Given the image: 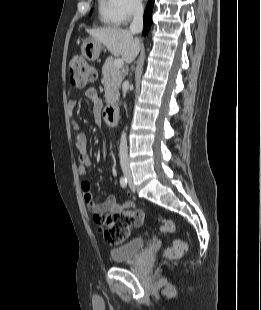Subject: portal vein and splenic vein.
<instances>
[{"label": "portal vein and splenic vein", "mask_w": 261, "mask_h": 310, "mask_svg": "<svg viewBox=\"0 0 261 310\" xmlns=\"http://www.w3.org/2000/svg\"><path fill=\"white\" fill-rule=\"evenodd\" d=\"M123 65H124V61H123V59H115L114 60V66L116 67V68H122L123 67Z\"/></svg>", "instance_id": "1"}]
</instances>
